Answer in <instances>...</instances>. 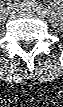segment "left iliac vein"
I'll return each instance as SVG.
<instances>
[{
	"label": "left iliac vein",
	"mask_w": 63,
	"mask_h": 107,
	"mask_svg": "<svg viewBox=\"0 0 63 107\" xmlns=\"http://www.w3.org/2000/svg\"><path fill=\"white\" fill-rule=\"evenodd\" d=\"M16 10L20 14H30L33 11L27 6H16Z\"/></svg>",
	"instance_id": "obj_1"
}]
</instances>
